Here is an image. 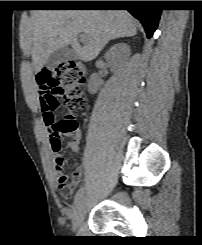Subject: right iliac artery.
Instances as JSON below:
<instances>
[{
  "label": "right iliac artery",
  "instance_id": "obj_1",
  "mask_svg": "<svg viewBox=\"0 0 202 245\" xmlns=\"http://www.w3.org/2000/svg\"><path fill=\"white\" fill-rule=\"evenodd\" d=\"M84 194V187H81L76 193H75V197H74V205L76 206L80 200L82 199Z\"/></svg>",
  "mask_w": 202,
  "mask_h": 245
}]
</instances>
